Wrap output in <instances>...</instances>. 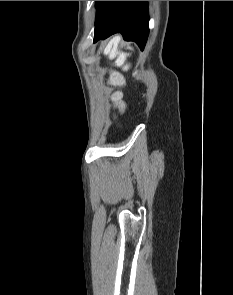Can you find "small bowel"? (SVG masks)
I'll return each instance as SVG.
<instances>
[{
    "label": "small bowel",
    "instance_id": "1",
    "mask_svg": "<svg viewBox=\"0 0 233 295\" xmlns=\"http://www.w3.org/2000/svg\"><path fill=\"white\" fill-rule=\"evenodd\" d=\"M120 98H121L120 94H117V95L115 96V100H116V102H118V103H119V106H120V108H122V107H123V105H122V103L120 102Z\"/></svg>",
    "mask_w": 233,
    "mask_h": 295
}]
</instances>
